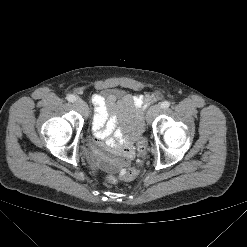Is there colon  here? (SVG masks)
Returning a JSON list of instances; mask_svg holds the SVG:
<instances>
[{
  "label": "colon",
  "instance_id": "obj_1",
  "mask_svg": "<svg viewBox=\"0 0 247 247\" xmlns=\"http://www.w3.org/2000/svg\"><path fill=\"white\" fill-rule=\"evenodd\" d=\"M138 150L141 154V156H144L145 152H146V141L143 137H140L139 142H138ZM139 174V169L138 168H129L127 170H123L120 173L119 178L115 177V176H109L107 178V182L109 184H116L119 179L121 180H125V181H131L134 178H136Z\"/></svg>",
  "mask_w": 247,
  "mask_h": 247
}]
</instances>
